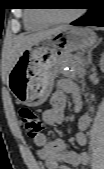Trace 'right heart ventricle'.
Instances as JSON below:
<instances>
[{
    "mask_svg": "<svg viewBox=\"0 0 104 169\" xmlns=\"http://www.w3.org/2000/svg\"><path fill=\"white\" fill-rule=\"evenodd\" d=\"M24 22L25 26L30 30L41 29L49 24L37 12H27L24 15Z\"/></svg>",
    "mask_w": 104,
    "mask_h": 169,
    "instance_id": "e07e8e85",
    "label": "right heart ventricle"
}]
</instances>
